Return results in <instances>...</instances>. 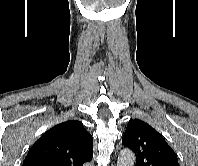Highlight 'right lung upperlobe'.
Returning <instances> with one entry per match:
<instances>
[{
    "label": "right lung upper lobe",
    "mask_w": 198,
    "mask_h": 166,
    "mask_svg": "<svg viewBox=\"0 0 198 166\" xmlns=\"http://www.w3.org/2000/svg\"><path fill=\"white\" fill-rule=\"evenodd\" d=\"M93 138L77 120L60 123L37 140L22 166H83L93 157Z\"/></svg>",
    "instance_id": "1"
}]
</instances>
